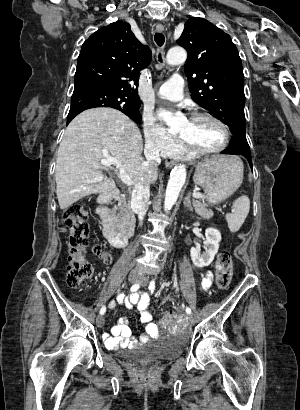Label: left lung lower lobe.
<instances>
[{"instance_id": "1", "label": "left lung lower lobe", "mask_w": 300, "mask_h": 410, "mask_svg": "<svg viewBox=\"0 0 300 410\" xmlns=\"http://www.w3.org/2000/svg\"><path fill=\"white\" fill-rule=\"evenodd\" d=\"M221 153L243 155L248 160L252 168L250 147L247 143V140L242 137L233 136L232 140L230 141V146Z\"/></svg>"}]
</instances>
